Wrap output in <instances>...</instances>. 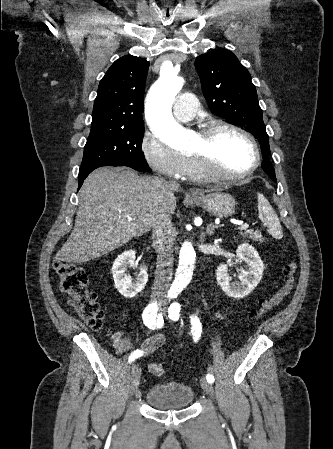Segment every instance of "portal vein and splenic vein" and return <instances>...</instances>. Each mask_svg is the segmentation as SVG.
I'll use <instances>...</instances> for the list:
<instances>
[{
	"label": "portal vein and splenic vein",
	"mask_w": 333,
	"mask_h": 449,
	"mask_svg": "<svg viewBox=\"0 0 333 449\" xmlns=\"http://www.w3.org/2000/svg\"><path fill=\"white\" fill-rule=\"evenodd\" d=\"M248 227H249V225L247 223H245V224H241L238 229L239 230H246Z\"/></svg>",
	"instance_id": "portal-vein-and-splenic-vein-1"
}]
</instances>
